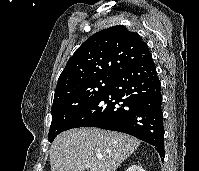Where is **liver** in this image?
<instances>
[{"label":"liver","mask_w":199,"mask_h":171,"mask_svg":"<svg viewBox=\"0 0 199 171\" xmlns=\"http://www.w3.org/2000/svg\"><path fill=\"white\" fill-rule=\"evenodd\" d=\"M139 145L140 140L125 133L71 129L50 146L51 171H116Z\"/></svg>","instance_id":"liver-1"}]
</instances>
